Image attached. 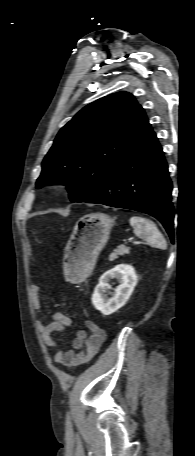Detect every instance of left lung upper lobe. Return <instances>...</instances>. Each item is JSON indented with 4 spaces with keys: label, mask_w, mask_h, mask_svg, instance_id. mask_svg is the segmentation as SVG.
<instances>
[{
    "label": "left lung upper lobe",
    "mask_w": 195,
    "mask_h": 456,
    "mask_svg": "<svg viewBox=\"0 0 195 456\" xmlns=\"http://www.w3.org/2000/svg\"><path fill=\"white\" fill-rule=\"evenodd\" d=\"M145 119L128 92L87 105L59 131L42 162L37 188L62 183L72 202H84L103 185Z\"/></svg>",
    "instance_id": "obj_1"
}]
</instances>
